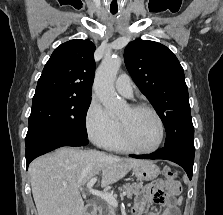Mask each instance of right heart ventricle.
Masks as SVG:
<instances>
[{"instance_id": "right-heart-ventricle-1", "label": "right heart ventricle", "mask_w": 223, "mask_h": 215, "mask_svg": "<svg viewBox=\"0 0 223 215\" xmlns=\"http://www.w3.org/2000/svg\"><path fill=\"white\" fill-rule=\"evenodd\" d=\"M104 147L108 150L115 151V152H126L127 149L122 144L119 139V133H116L113 137H111L105 144Z\"/></svg>"}]
</instances>
